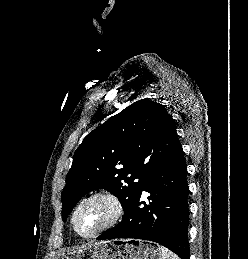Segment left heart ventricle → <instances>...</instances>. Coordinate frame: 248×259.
Returning <instances> with one entry per match:
<instances>
[{
	"label": "left heart ventricle",
	"instance_id": "obj_1",
	"mask_svg": "<svg viewBox=\"0 0 248 259\" xmlns=\"http://www.w3.org/2000/svg\"><path fill=\"white\" fill-rule=\"evenodd\" d=\"M111 202L98 198L85 203L76 216V226L82 234H91L105 225L113 216Z\"/></svg>",
	"mask_w": 248,
	"mask_h": 259
}]
</instances>
